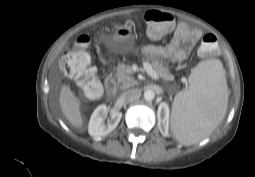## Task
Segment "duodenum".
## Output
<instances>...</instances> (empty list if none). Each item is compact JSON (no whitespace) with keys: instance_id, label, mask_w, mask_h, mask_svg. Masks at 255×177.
I'll list each match as a JSON object with an SVG mask.
<instances>
[{"instance_id":"410a0bca","label":"duodenum","mask_w":255,"mask_h":177,"mask_svg":"<svg viewBox=\"0 0 255 177\" xmlns=\"http://www.w3.org/2000/svg\"><path fill=\"white\" fill-rule=\"evenodd\" d=\"M105 88L109 95H114L116 93L117 86L111 75H107L105 78Z\"/></svg>"}]
</instances>
